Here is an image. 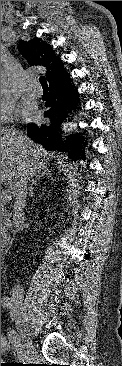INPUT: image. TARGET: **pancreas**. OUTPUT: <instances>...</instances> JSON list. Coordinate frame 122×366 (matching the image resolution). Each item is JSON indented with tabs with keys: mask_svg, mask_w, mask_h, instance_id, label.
<instances>
[{
	"mask_svg": "<svg viewBox=\"0 0 122 366\" xmlns=\"http://www.w3.org/2000/svg\"><path fill=\"white\" fill-rule=\"evenodd\" d=\"M7 202L8 200H5L3 197H1V208H3ZM7 230H8L7 221L5 217H3V214H1V234L6 235Z\"/></svg>",
	"mask_w": 122,
	"mask_h": 366,
	"instance_id": "obj_1",
	"label": "pancreas"
}]
</instances>
